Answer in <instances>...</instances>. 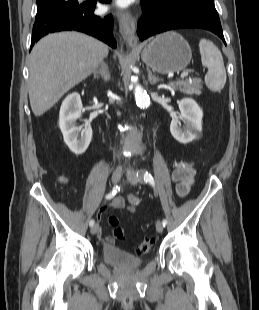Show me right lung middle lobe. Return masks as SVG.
Returning a JSON list of instances; mask_svg holds the SVG:
<instances>
[{
	"label": "right lung middle lobe",
	"mask_w": 259,
	"mask_h": 310,
	"mask_svg": "<svg viewBox=\"0 0 259 310\" xmlns=\"http://www.w3.org/2000/svg\"><path fill=\"white\" fill-rule=\"evenodd\" d=\"M76 0H37V15H41L50 10L70 9L78 6Z\"/></svg>",
	"instance_id": "obj_1"
}]
</instances>
